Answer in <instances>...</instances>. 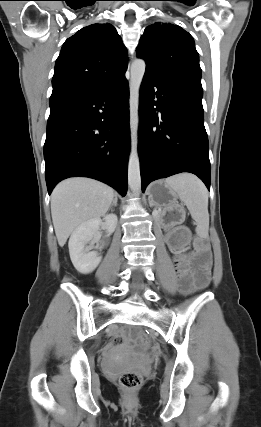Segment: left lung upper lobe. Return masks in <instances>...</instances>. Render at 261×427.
<instances>
[{
	"label": "left lung upper lobe",
	"mask_w": 261,
	"mask_h": 427,
	"mask_svg": "<svg viewBox=\"0 0 261 427\" xmlns=\"http://www.w3.org/2000/svg\"><path fill=\"white\" fill-rule=\"evenodd\" d=\"M136 51L146 62L145 74L202 87L193 37L180 26L156 22L146 27Z\"/></svg>",
	"instance_id": "left-lung-upper-lobe-1"
}]
</instances>
